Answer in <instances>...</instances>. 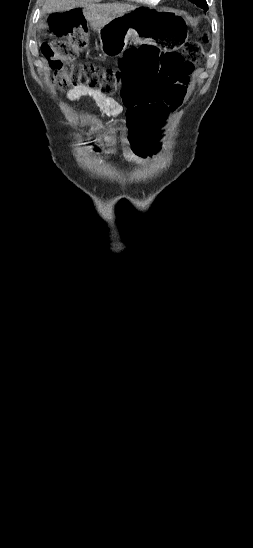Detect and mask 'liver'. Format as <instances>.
<instances>
[{
    "label": "liver",
    "instance_id": "1",
    "mask_svg": "<svg viewBox=\"0 0 253 548\" xmlns=\"http://www.w3.org/2000/svg\"><path fill=\"white\" fill-rule=\"evenodd\" d=\"M83 8V15L93 29L105 27L114 18L129 13L137 7L123 3H91L88 0H46L42 13L69 11Z\"/></svg>",
    "mask_w": 253,
    "mask_h": 548
}]
</instances>
